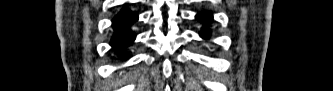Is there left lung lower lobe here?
Returning a JSON list of instances; mask_svg holds the SVG:
<instances>
[{
    "mask_svg": "<svg viewBox=\"0 0 333 91\" xmlns=\"http://www.w3.org/2000/svg\"><path fill=\"white\" fill-rule=\"evenodd\" d=\"M196 18L202 22L203 24H207L209 22L212 21V14L208 11H203V12H200L199 14L196 15ZM201 36L203 38H208L210 36V32L209 31H206V32H203L201 33Z\"/></svg>",
    "mask_w": 333,
    "mask_h": 91,
    "instance_id": "left-lung-lower-lobe-1",
    "label": "left lung lower lobe"
}]
</instances>
